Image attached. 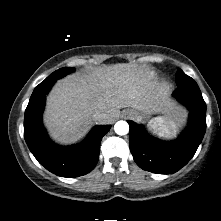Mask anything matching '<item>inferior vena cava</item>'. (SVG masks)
<instances>
[{
  "instance_id": "inferior-vena-cava-1",
  "label": "inferior vena cava",
  "mask_w": 221,
  "mask_h": 221,
  "mask_svg": "<svg viewBox=\"0 0 221 221\" xmlns=\"http://www.w3.org/2000/svg\"><path fill=\"white\" fill-rule=\"evenodd\" d=\"M106 118V114L102 113L100 111H97L93 114V120L97 121V122H101L102 120H104Z\"/></svg>"
}]
</instances>
